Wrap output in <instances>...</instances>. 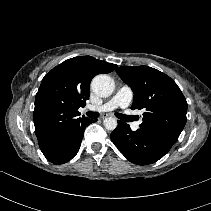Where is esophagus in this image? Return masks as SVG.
<instances>
[{
	"instance_id": "34e87169",
	"label": "esophagus",
	"mask_w": 211,
	"mask_h": 211,
	"mask_svg": "<svg viewBox=\"0 0 211 211\" xmlns=\"http://www.w3.org/2000/svg\"><path fill=\"white\" fill-rule=\"evenodd\" d=\"M107 117H109V115L108 114H104V115L101 116V119H105Z\"/></svg>"
}]
</instances>
